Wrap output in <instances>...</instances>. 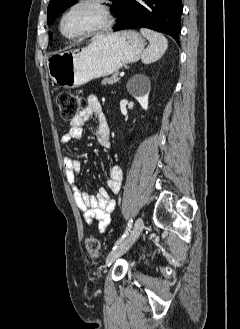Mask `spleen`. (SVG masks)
Segmentation results:
<instances>
[{"label": "spleen", "mask_w": 240, "mask_h": 329, "mask_svg": "<svg viewBox=\"0 0 240 329\" xmlns=\"http://www.w3.org/2000/svg\"><path fill=\"white\" fill-rule=\"evenodd\" d=\"M140 32L150 42V46L143 51L142 62L145 64L153 63L166 52L168 41L163 34L150 29L142 28Z\"/></svg>", "instance_id": "spleen-1"}]
</instances>
